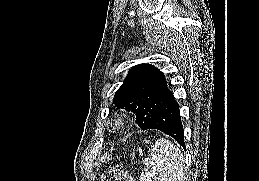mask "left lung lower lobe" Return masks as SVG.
Returning <instances> with one entry per match:
<instances>
[{
    "instance_id": "1",
    "label": "left lung lower lobe",
    "mask_w": 259,
    "mask_h": 181,
    "mask_svg": "<svg viewBox=\"0 0 259 181\" xmlns=\"http://www.w3.org/2000/svg\"><path fill=\"white\" fill-rule=\"evenodd\" d=\"M157 129L173 137L184 149V130L181 123L180 111L173 94L167 98L156 117L144 130Z\"/></svg>"
}]
</instances>
